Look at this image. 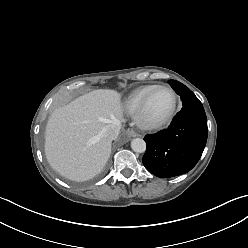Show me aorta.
<instances>
[{"instance_id": "762f6f07", "label": "aorta", "mask_w": 248, "mask_h": 248, "mask_svg": "<svg viewBox=\"0 0 248 248\" xmlns=\"http://www.w3.org/2000/svg\"><path fill=\"white\" fill-rule=\"evenodd\" d=\"M131 148L134 152L143 153L146 150V143L141 138H135L131 141Z\"/></svg>"}]
</instances>
